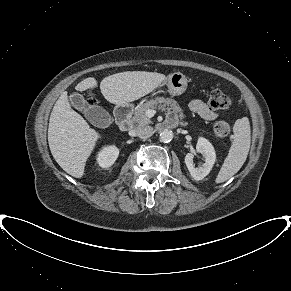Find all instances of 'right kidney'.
Listing matches in <instances>:
<instances>
[{
  "instance_id": "ca27d5eb",
  "label": "right kidney",
  "mask_w": 291,
  "mask_h": 291,
  "mask_svg": "<svg viewBox=\"0 0 291 291\" xmlns=\"http://www.w3.org/2000/svg\"><path fill=\"white\" fill-rule=\"evenodd\" d=\"M119 150L116 146L104 147L97 155V163L102 168H108L116 161Z\"/></svg>"
}]
</instances>
